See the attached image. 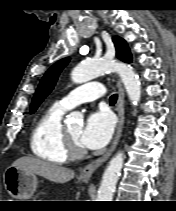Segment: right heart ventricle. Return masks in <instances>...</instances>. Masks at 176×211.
<instances>
[{"instance_id":"right-heart-ventricle-1","label":"right heart ventricle","mask_w":176,"mask_h":211,"mask_svg":"<svg viewBox=\"0 0 176 211\" xmlns=\"http://www.w3.org/2000/svg\"><path fill=\"white\" fill-rule=\"evenodd\" d=\"M65 111L60 104L54 103L36 121L30 136V148L37 158L55 164L68 162L62 124Z\"/></svg>"}]
</instances>
